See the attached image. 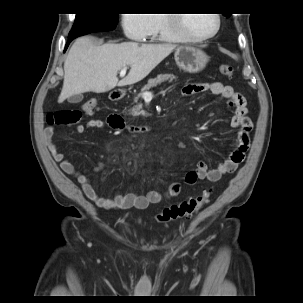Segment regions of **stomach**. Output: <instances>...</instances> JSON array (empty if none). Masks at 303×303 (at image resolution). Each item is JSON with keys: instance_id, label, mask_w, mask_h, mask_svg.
Masks as SVG:
<instances>
[{"instance_id": "stomach-1", "label": "stomach", "mask_w": 303, "mask_h": 303, "mask_svg": "<svg viewBox=\"0 0 303 303\" xmlns=\"http://www.w3.org/2000/svg\"><path fill=\"white\" fill-rule=\"evenodd\" d=\"M174 57L178 67L189 73L202 71L209 61V57L206 53L191 46L178 47Z\"/></svg>"}]
</instances>
